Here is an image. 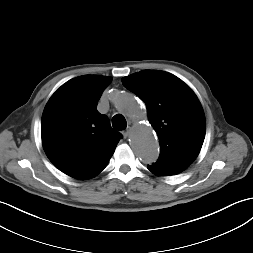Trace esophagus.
<instances>
[{"label":"esophagus","mask_w":253,"mask_h":253,"mask_svg":"<svg viewBox=\"0 0 253 253\" xmlns=\"http://www.w3.org/2000/svg\"><path fill=\"white\" fill-rule=\"evenodd\" d=\"M130 131H131V127H127V129L123 132L124 138H127L129 136Z\"/></svg>","instance_id":"esophagus-1"}]
</instances>
